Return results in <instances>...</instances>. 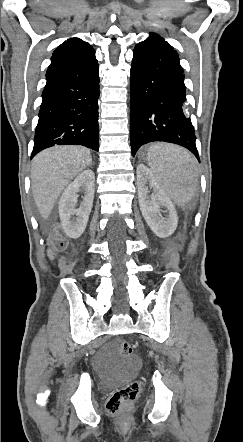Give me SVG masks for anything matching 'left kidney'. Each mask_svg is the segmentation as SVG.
<instances>
[{"mask_svg":"<svg viewBox=\"0 0 243 442\" xmlns=\"http://www.w3.org/2000/svg\"><path fill=\"white\" fill-rule=\"evenodd\" d=\"M147 183L155 190L150 198ZM137 188L140 210L148 226L160 238L172 235L178 225L177 211L172 200L161 189L153 173L144 164H139L137 167ZM161 207L167 208V218H163L160 214Z\"/></svg>","mask_w":243,"mask_h":442,"instance_id":"5707ae66","label":"left kidney"}]
</instances>
